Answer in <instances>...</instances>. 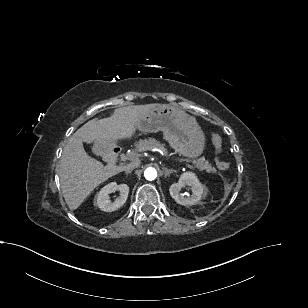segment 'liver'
<instances>
[{
	"label": "liver",
	"instance_id": "liver-1",
	"mask_svg": "<svg viewBox=\"0 0 308 308\" xmlns=\"http://www.w3.org/2000/svg\"><path fill=\"white\" fill-rule=\"evenodd\" d=\"M160 104L132 105L115 109L113 115L92 119L80 127L64 147L60 162L61 189L69 209H77L101 183L126 169V166L103 165L85 151L83 142L110 147L113 140L130 138L139 117Z\"/></svg>",
	"mask_w": 308,
	"mask_h": 308
}]
</instances>
